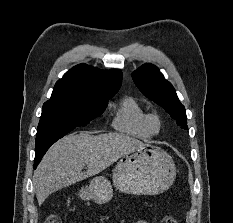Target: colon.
<instances>
[{
    "label": "colon",
    "mask_w": 233,
    "mask_h": 223,
    "mask_svg": "<svg viewBox=\"0 0 233 223\" xmlns=\"http://www.w3.org/2000/svg\"><path fill=\"white\" fill-rule=\"evenodd\" d=\"M46 223H61V219L57 214H51L46 219ZM161 223H177V220L171 215H165L162 217Z\"/></svg>",
    "instance_id": "obj_1"
}]
</instances>
